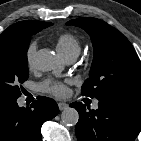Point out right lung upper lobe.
<instances>
[{"label": "right lung upper lobe", "instance_id": "1", "mask_svg": "<svg viewBox=\"0 0 141 141\" xmlns=\"http://www.w3.org/2000/svg\"><path fill=\"white\" fill-rule=\"evenodd\" d=\"M45 22L36 21V20H27V21H20L11 25L7 28L1 35L0 39L14 37L20 34L22 31L27 30L32 27L43 25Z\"/></svg>", "mask_w": 141, "mask_h": 141}]
</instances>
